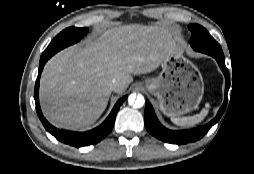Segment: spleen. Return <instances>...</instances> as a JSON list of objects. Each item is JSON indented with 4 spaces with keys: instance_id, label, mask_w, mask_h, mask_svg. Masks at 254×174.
Listing matches in <instances>:
<instances>
[{
    "instance_id": "3e777b00",
    "label": "spleen",
    "mask_w": 254,
    "mask_h": 174,
    "mask_svg": "<svg viewBox=\"0 0 254 174\" xmlns=\"http://www.w3.org/2000/svg\"><path fill=\"white\" fill-rule=\"evenodd\" d=\"M210 104L206 103L205 108L201 110L199 114L189 117H172L171 121L182 127H191L200 123L209 113Z\"/></svg>"
}]
</instances>
